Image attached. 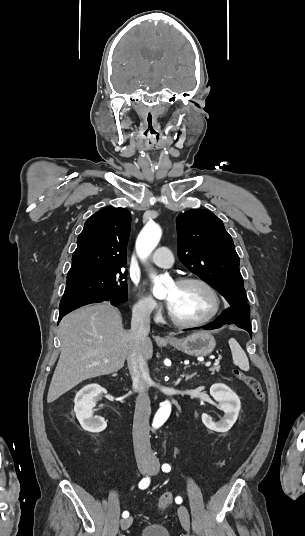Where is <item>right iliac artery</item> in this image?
Segmentation results:
<instances>
[{
  "label": "right iliac artery",
  "instance_id": "1",
  "mask_svg": "<svg viewBox=\"0 0 305 536\" xmlns=\"http://www.w3.org/2000/svg\"><path fill=\"white\" fill-rule=\"evenodd\" d=\"M149 484H150V478L149 477L143 478L139 483V488L146 489L149 486ZM122 516L123 518H127L129 516V512L124 511Z\"/></svg>",
  "mask_w": 305,
  "mask_h": 536
}]
</instances>
